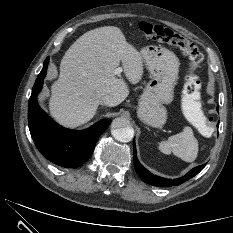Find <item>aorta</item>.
Segmentation results:
<instances>
[{
	"mask_svg": "<svg viewBox=\"0 0 233 233\" xmlns=\"http://www.w3.org/2000/svg\"><path fill=\"white\" fill-rule=\"evenodd\" d=\"M111 133L116 140L120 142H129L134 136V129L130 126L128 119L118 117L111 123Z\"/></svg>",
	"mask_w": 233,
	"mask_h": 233,
	"instance_id": "1",
	"label": "aorta"
}]
</instances>
